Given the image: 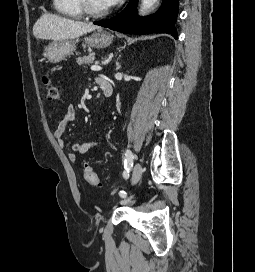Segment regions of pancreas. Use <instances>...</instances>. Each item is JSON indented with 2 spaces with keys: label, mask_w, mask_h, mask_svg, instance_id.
I'll use <instances>...</instances> for the list:
<instances>
[{
  "label": "pancreas",
  "mask_w": 255,
  "mask_h": 272,
  "mask_svg": "<svg viewBox=\"0 0 255 272\" xmlns=\"http://www.w3.org/2000/svg\"><path fill=\"white\" fill-rule=\"evenodd\" d=\"M95 53H90L89 55H85L83 57L77 58L78 65H89L95 61Z\"/></svg>",
  "instance_id": "obj_1"
}]
</instances>
